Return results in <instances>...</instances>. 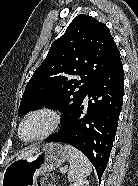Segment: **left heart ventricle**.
Wrapping results in <instances>:
<instances>
[{"label":"left heart ventricle","instance_id":"left-heart-ventricle-1","mask_svg":"<svg viewBox=\"0 0 138 186\" xmlns=\"http://www.w3.org/2000/svg\"><path fill=\"white\" fill-rule=\"evenodd\" d=\"M51 119L46 114H38L31 117L22 128V137L28 139L34 137L49 128Z\"/></svg>","mask_w":138,"mask_h":186}]
</instances>
